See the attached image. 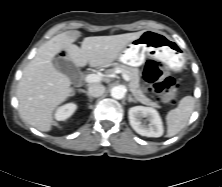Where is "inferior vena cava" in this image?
I'll list each match as a JSON object with an SVG mask.
<instances>
[{"label": "inferior vena cava", "instance_id": "602c4592", "mask_svg": "<svg viewBox=\"0 0 222 187\" xmlns=\"http://www.w3.org/2000/svg\"><path fill=\"white\" fill-rule=\"evenodd\" d=\"M105 92V87L102 84H92L88 88V93L92 97H100Z\"/></svg>", "mask_w": 222, "mask_h": 187}]
</instances>
